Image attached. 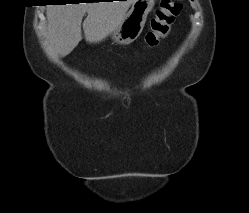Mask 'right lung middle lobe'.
Masks as SVG:
<instances>
[{"label":"right lung middle lobe","instance_id":"right-lung-middle-lobe-1","mask_svg":"<svg viewBox=\"0 0 249 213\" xmlns=\"http://www.w3.org/2000/svg\"><path fill=\"white\" fill-rule=\"evenodd\" d=\"M60 1L68 2V1H74V0H60Z\"/></svg>","mask_w":249,"mask_h":213}]
</instances>
